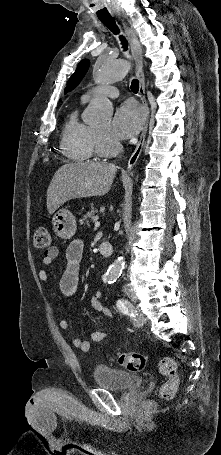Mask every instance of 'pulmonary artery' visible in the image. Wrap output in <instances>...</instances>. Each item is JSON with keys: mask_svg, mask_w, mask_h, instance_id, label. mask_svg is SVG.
Instances as JSON below:
<instances>
[{"mask_svg": "<svg viewBox=\"0 0 221 455\" xmlns=\"http://www.w3.org/2000/svg\"><path fill=\"white\" fill-rule=\"evenodd\" d=\"M94 95H104L110 98H116L119 95L118 89L111 85H103L100 87H95L87 90L83 95L82 99L84 101L89 100Z\"/></svg>", "mask_w": 221, "mask_h": 455, "instance_id": "obj_1", "label": "pulmonary artery"}]
</instances>
